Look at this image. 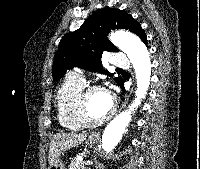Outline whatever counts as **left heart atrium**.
Returning <instances> with one entry per match:
<instances>
[{
	"label": "left heart atrium",
	"mask_w": 200,
	"mask_h": 169,
	"mask_svg": "<svg viewBox=\"0 0 200 169\" xmlns=\"http://www.w3.org/2000/svg\"><path fill=\"white\" fill-rule=\"evenodd\" d=\"M105 93L107 95V98H108L110 104H112V97H111V95L108 92H105Z\"/></svg>",
	"instance_id": "39dd6f15"
}]
</instances>
